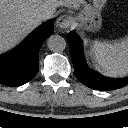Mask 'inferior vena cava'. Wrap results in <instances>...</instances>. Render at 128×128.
<instances>
[{
  "label": "inferior vena cava",
  "instance_id": "obj_1",
  "mask_svg": "<svg viewBox=\"0 0 128 128\" xmlns=\"http://www.w3.org/2000/svg\"><path fill=\"white\" fill-rule=\"evenodd\" d=\"M36 15L38 19L46 20V19H49L53 15V12L50 8L43 6L38 9Z\"/></svg>",
  "mask_w": 128,
  "mask_h": 128
}]
</instances>
